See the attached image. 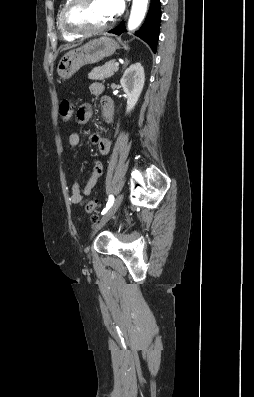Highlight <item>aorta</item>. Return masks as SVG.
Returning <instances> with one entry per match:
<instances>
[{
	"mask_svg": "<svg viewBox=\"0 0 254 397\" xmlns=\"http://www.w3.org/2000/svg\"><path fill=\"white\" fill-rule=\"evenodd\" d=\"M148 0H133L130 18L128 21V29H136L144 19L147 11Z\"/></svg>",
	"mask_w": 254,
	"mask_h": 397,
	"instance_id": "aorta-1",
	"label": "aorta"
}]
</instances>
